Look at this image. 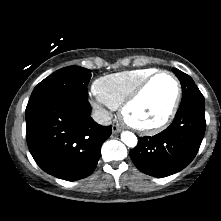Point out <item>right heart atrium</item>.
<instances>
[{"mask_svg":"<svg viewBox=\"0 0 221 221\" xmlns=\"http://www.w3.org/2000/svg\"><path fill=\"white\" fill-rule=\"evenodd\" d=\"M91 104L98 111H100L102 113H107V111H106V109L104 107V103H102L98 98L95 99V100H91Z\"/></svg>","mask_w":221,"mask_h":221,"instance_id":"d8ad5b80","label":"right heart atrium"}]
</instances>
